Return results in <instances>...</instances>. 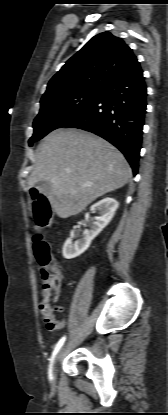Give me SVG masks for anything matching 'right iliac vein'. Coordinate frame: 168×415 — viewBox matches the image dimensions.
Listing matches in <instances>:
<instances>
[{
    "mask_svg": "<svg viewBox=\"0 0 168 415\" xmlns=\"http://www.w3.org/2000/svg\"><path fill=\"white\" fill-rule=\"evenodd\" d=\"M62 353H63V348H61L60 350H59V352H58V354H57V356H56V358H55V361H54V365H53V368H52V377L54 376V374H55V371H56V366H57V363H58V361L60 360V358H61V356H62Z\"/></svg>",
    "mask_w": 168,
    "mask_h": 415,
    "instance_id": "obj_1",
    "label": "right iliac vein"
}]
</instances>
